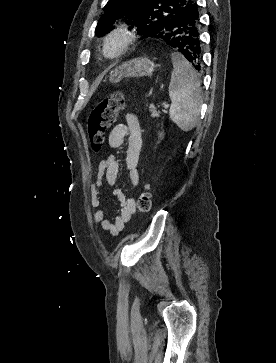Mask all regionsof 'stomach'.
Returning <instances> with one entry per match:
<instances>
[{"instance_id":"0dacf381","label":"stomach","mask_w":276,"mask_h":363,"mask_svg":"<svg viewBox=\"0 0 276 363\" xmlns=\"http://www.w3.org/2000/svg\"><path fill=\"white\" fill-rule=\"evenodd\" d=\"M154 63L148 58H135L117 67L110 75V82L118 83L123 78L152 76Z\"/></svg>"}]
</instances>
